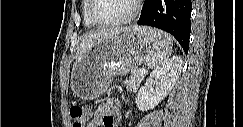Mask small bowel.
<instances>
[{"instance_id": "obj_1", "label": "small bowel", "mask_w": 243, "mask_h": 127, "mask_svg": "<svg viewBox=\"0 0 243 127\" xmlns=\"http://www.w3.org/2000/svg\"><path fill=\"white\" fill-rule=\"evenodd\" d=\"M120 118V102L117 99H109L98 106L91 116L87 127H117Z\"/></svg>"}]
</instances>
